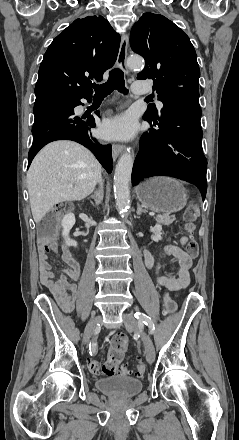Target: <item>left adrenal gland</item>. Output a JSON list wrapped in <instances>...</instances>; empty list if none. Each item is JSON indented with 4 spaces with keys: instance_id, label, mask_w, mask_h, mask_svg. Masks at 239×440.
Masks as SVG:
<instances>
[{
    "instance_id": "a2214340",
    "label": "left adrenal gland",
    "mask_w": 239,
    "mask_h": 440,
    "mask_svg": "<svg viewBox=\"0 0 239 440\" xmlns=\"http://www.w3.org/2000/svg\"><path fill=\"white\" fill-rule=\"evenodd\" d=\"M141 212H143V214H145L143 208H140V206L138 204V208H137V212H136L137 216H140Z\"/></svg>"
}]
</instances>
